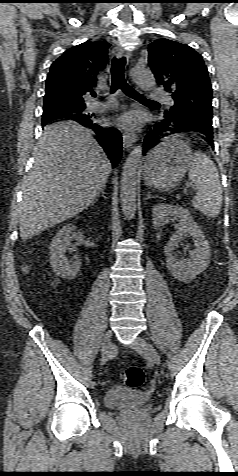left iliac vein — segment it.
Returning <instances> with one entry per match:
<instances>
[{
    "label": "left iliac vein",
    "mask_w": 238,
    "mask_h": 476,
    "mask_svg": "<svg viewBox=\"0 0 238 476\" xmlns=\"http://www.w3.org/2000/svg\"><path fill=\"white\" fill-rule=\"evenodd\" d=\"M132 346L139 354L147 357L151 362L160 364V356L157 350L143 338L136 337Z\"/></svg>",
    "instance_id": "obj_1"
}]
</instances>
